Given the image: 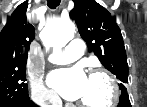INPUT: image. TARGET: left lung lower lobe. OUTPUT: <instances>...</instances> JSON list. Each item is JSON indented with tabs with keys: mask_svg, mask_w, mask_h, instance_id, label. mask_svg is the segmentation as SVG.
I'll return each mask as SVG.
<instances>
[{
	"mask_svg": "<svg viewBox=\"0 0 147 107\" xmlns=\"http://www.w3.org/2000/svg\"><path fill=\"white\" fill-rule=\"evenodd\" d=\"M117 107H131L127 91H123L121 93V96H120V99H119V104H118Z\"/></svg>",
	"mask_w": 147,
	"mask_h": 107,
	"instance_id": "1",
	"label": "left lung lower lobe"
}]
</instances>
